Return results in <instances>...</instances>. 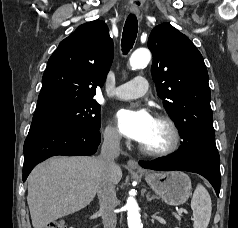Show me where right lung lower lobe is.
I'll return each mask as SVG.
<instances>
[{
    "mask_svg": "<svg viewBox=\"0 0 238 228\" xmlns=\"http://www.w3.org/2000/svg\"><path fill=\"white\" fill-rule=\"evenodd\" d=\"M96 129L69 124H31L24 143L23 181L43 160L55 156L92 155L100 144Z\"/></svg>",
    "mask_w": 238,
    "mask_h": 228,
    "instance_id": "98d812e1",
    "label": "right lung lower lobe"
}]
</instances>
